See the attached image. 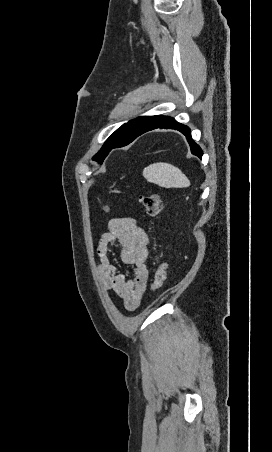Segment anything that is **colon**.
Masks as SVG:
<instances>
[{"mask_svg":"<svg viewBox=\"0 0 272 452\" xmlns=\"http://www.w3.org/2000/svg\"><path fill=\"white\" fill-rule=\"evenodd\" d=\"M138 201L143 206L145 212L152 217L158 216L162 211V200L157 194L141 195ZM167 277V265L165 263L159 264L155 271L154 280L152 283V290L158 291L164 284Z\"/></svg>","mask_w":272,"mask_h":452,"instance_id":"colon-1","label":"colon"}]
</instances>
